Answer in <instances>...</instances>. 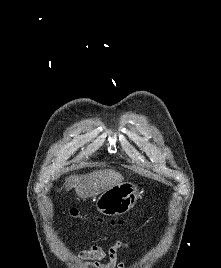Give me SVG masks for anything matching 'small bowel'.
I'll return each mask as SVG.
<instances>
[{"mask_svg":"<svg viewBox=\"0 0 221 268\" xmlns=\"http://www.w3.org/2000/svg\"><path fill=\"white\" fill-rule=\"evenodd\" d=\"M125 248H127V243L117 240L108 248L92 245L79 251L78 257L85 260L84 265L87 268H125V263L118 259L119 251ZM105 259L106 262H103Z\"/></svg>","mask_w":221,"mask_h":268,"instance_id":"small-bowel-1","label":"small bowel"}]
</instances>
